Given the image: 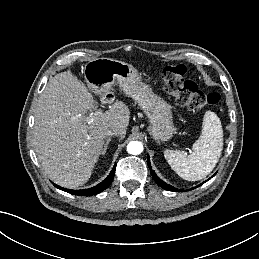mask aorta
<instances>
[{
  "label": "aorta",
  "instance_id": "1",
  "mask_svg": "<svg viewBox=\"0 0 259 259\" xmlns=\"http://www.w3.org/2000/svg\"><path fill=\"white\" fill-rule=\"evenodd\" d=\"M143 151V145L139 141H131L127 145V152L132 155H138Z\"/></svg>",
  "mask_w": 259,
  "mask_h": 259
}]
</instances>
